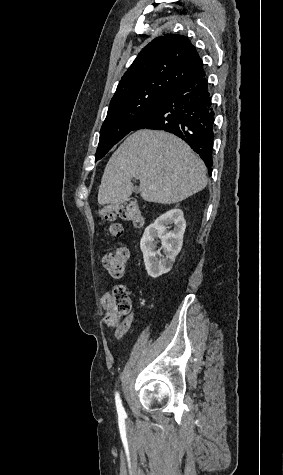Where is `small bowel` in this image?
<instances>
[{
	"mask_svg": "<svg viewBox=\"0 0 283 475\" xmlns=\"http://www.w3.org/2000/svg\"><path fill=\"white\" fill-rule=\"evenodd\" d=\"M125 329H118L115 331V337L121 339L124 335Z\"/></svg>",
	"mask_w": 283,
	"mask_h": 475,
	"instance_id": "c3829d8e",
	"label": "small bowel"
}]
</instances>
